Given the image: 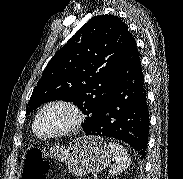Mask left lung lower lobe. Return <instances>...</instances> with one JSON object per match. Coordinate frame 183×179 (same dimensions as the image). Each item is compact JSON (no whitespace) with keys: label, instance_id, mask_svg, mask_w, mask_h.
<instances>
[{"label":"left lung lower lobe","instance_id":"0a47b994","mask_svg":"<svg viewBox=\"0 0 183 179\" xmlns=\"http://www.w3.org/2000/svg\"><path fill=\"white\" fill-rule=\"evenodd\" d=\"M148 130L149 112L144 77L136 43L129 32L106 103L94 127L86 134L124 141L144 158Z\"/></svg>","mask_w":183,"mask_h":179}]
</instances>
